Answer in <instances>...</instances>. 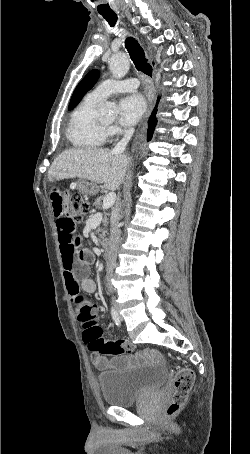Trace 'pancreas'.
Masks as SVG:
<instances>
[{
  "label": "pancreas",
  "mask_w": 250,
  "mask_h": 454,
  "mask_svg": "<svg viewBox=\"0 0 250 454\" xmlns=\"http://www.w3.org/2000/svg\"><path fill=\"white\" fill-rule=\"evenodd\" d=\"M104 198L103 197H98L96 200H95V203H94V206L98 209L101 208V201L103 200ZM107 213H104V218H103V226L104 228L101 229V234H100V237L101 238H104L108 232L107 230V225H108V217H107Z\"/></svg>",
  "instance_id": "1"
}]
</instances>
